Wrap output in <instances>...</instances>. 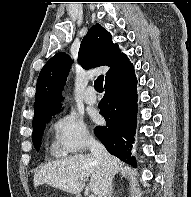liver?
I'll use <instances>...</instances> for the list:
<instances>
[{
	"label": "liver",
	"instance_id": "liver-1",
	"mask_svg": "<svg viewBox=\"0 0 191 197\" xmlns=\"http://www.w3.org/2000/svg\"><path fill=\"white\" fill-rule=\"evenodd\" d=\"M112 157L113 175L119 170L120 161ZM90 177L89 190L98 195L103 180V168L91 154H79L62 158L45 164L34 174V186L48 184L54 188L80 194L85 184L83 180Z\"/></svg>",
	"mask_w": 191,
	"mask_h": 197
}]
</instances>
